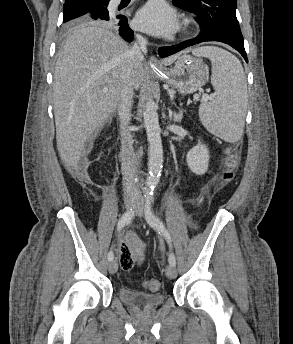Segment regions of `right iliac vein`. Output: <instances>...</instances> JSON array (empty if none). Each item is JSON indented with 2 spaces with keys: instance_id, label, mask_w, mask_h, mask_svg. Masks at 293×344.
Listing matches in <instances>:
<instances>
[{
  "instance_id": "right-iliac-vein-1",
  "label": "right iliac vein",
  "mask_w": 293,
  "mask_h": 344,
  "mask_svg": "<svg viewBox=\"0 0 293 344\" xmlns=\"http://www.w3.org/2000/svg\"><path fill=\"white\" fill-rule=\"evenodd\" d=\"M136 205V203L132 200H128L125 202V207L127 209L133 208ZM109 272L110 274H115L117 272L118 269V263L116 260H111L109 262V266H108Z\"/></svg>"
}]
</instances>
